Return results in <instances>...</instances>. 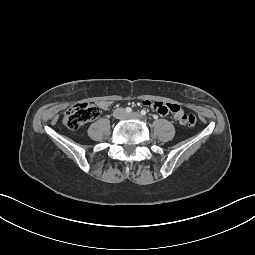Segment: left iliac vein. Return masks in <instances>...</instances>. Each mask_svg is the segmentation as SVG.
I'll return each instance as SVG.
<instances>
[{"label": "left iliac vein", "mask_w": 255, "mask_h": 255, "mask_svg": "<svg viewBox=\"0 0 255 255\" xmlns=\"http://www.w3.org/2000/svg\"><path fill=\"white\" fill-rule=\"evenodd\" d=\"M125 118H126V119H142L143 117L141 116L140 113H138V112H133V113H130V114H126V115H125Z\"/></svg>", "instance_id": "1"}]
</instances>
